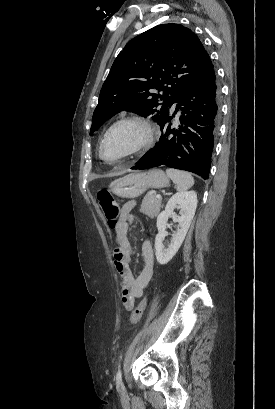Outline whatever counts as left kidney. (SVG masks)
I'll return each instance as SVG.
<instances>
[{"mask_svg": "<svg viewBox=\"0 0 275 409\" xmlns=\"http://www.w3.org/2000/svg\"><path fill=\"white\" fill-rule=\"evenodd\" d=\"M197 194L195 190H188V192H176L169 198L165 211H162L157 217L158 235L155 239L156 259L159 265H167L172 257L176 255L180 249L187 231L191 225V221L195 215L197 207ZM179 207L181 217L174 215L173 211ZM169 217H174V223H179L176 233L172 235L171 243L165 249L163 241L166 237V225Z\"/></svg>", "mask_w": 275, "mask_h": 409, "instance_id": "left-kidney-1", "label": "left kidney"}]
</instances>
